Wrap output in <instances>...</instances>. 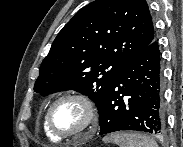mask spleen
I'll return each mask as SVG.
<instances>
[{
    "mask_svg": "<svg viewBox=\"0 0 183 147\" xmlns=\"http://www.w3.org/2000/svg\"><path fill=\"white\" fill-rule=\"evenodd\" d=\"M103 140L115 143L119 147H158L152 137L140 133L117 132L104 137Z\"/></svg>",
    "mask_w": 183,
    "mask_h": 147,
    "instance_id": "spleen-1",
    "label": "spleen"
}]
</instances>
